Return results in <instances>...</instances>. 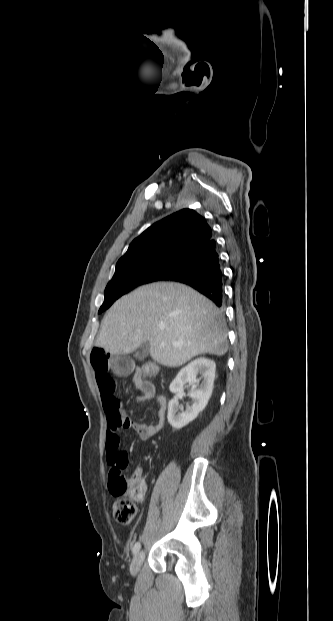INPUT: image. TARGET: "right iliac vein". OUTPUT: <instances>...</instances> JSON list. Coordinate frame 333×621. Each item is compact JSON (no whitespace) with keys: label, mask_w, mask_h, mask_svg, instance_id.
<instances>
[{"label":"right iliac vein","mask_w":333,"mask_h":621,"mask_svg":"<svg viewBox=\"0 0 333 621\" xmlns=\"http://www.w3.org/2000/svg\"><path fill=\"white\" fill-rule=\"evenodd\" d=\"M144 556H145L144 551H140V552H138L135 555V557L133 559V562H132V565H131V573H132V575H136L138 573V571H139V569H140V567H141V565L143 563Z\"/></svg>","instance_id":"1"}]
</instances>
